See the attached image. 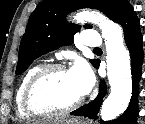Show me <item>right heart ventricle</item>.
Segmentation results:
<instances>
[{
  "instance_id": "obj_1",
  "label": "right heart ventricle",
  "mask_w": 145,
  "mask_h": 124,
  "mask_svg": "<svg viewBox=\"0 0 145 124\" xmlns=\"http://www.w3.org/2000/svg\"><path fill=\"white\" fill-rule=\"evenodd\" d=\"M41 67V65H35L28 69L26 73L23 75L17 90L15 94V103H16V111L17 114L22 118H28L30 117L29 114L26 113L24 107H23V94L25 87L29 81V79L32 77V75Z\"/></svg>"
}]
</instances>
